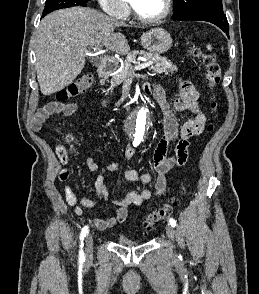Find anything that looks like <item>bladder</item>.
Masks as SVG:
<instances>
[{
  "label": "bladder",
  "mask_w": 259,
  "mask_h": 294,
  "mask_svg": "<svg viewBox=\"0 0 259 294\" xmlns=\"http://www.w3.org/2000/svg\"><path fill=\"white\" fill-rule=\"evenodd\" d=\"M117 243L119 245L127 246V247H133V246H137L140 244L139 242L132 241V240L125 238V237H119L117 239Z\"/></svg>",
  "instance_id": "31cf9c89"
}]
</instances>
